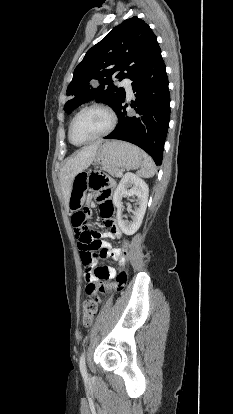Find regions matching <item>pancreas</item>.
Returning <instances> with one entry per match:
<instances>
[{
	"label": "pancreas",
	"mask_w": 233,
	"mask_h": 414,
	"mask_svg": "<svg viewBox=\"0 0 233 414\" xmlns=\"http://www.w3.org/2000/svg\"><path fill=\"white\" fill-rule=\"evenodd\" d=\"M112 176L115 177H122L121 171L120 170H109L108 171Z\"/></svg>",
	"instance_id": "obj_1"
}]
</instances>
